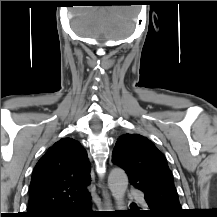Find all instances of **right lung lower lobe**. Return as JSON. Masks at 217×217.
I'll use <instances>...</instances> for the list:
<instances>
[{
	"label": "right lung lower lobe",
	"mask_w": 217,
	"mask_h": 217,
	"mask_svg": "<svg viewBox=\"0 0 217 217\" xmlns=\"http://www.w3.org/2000/svg\"><path fill=\"white\" fill-rule=\"evenodd\" d=\"M91 209V198L80 204L64 207L53 214L46 217H93L94 214ZM108 216V215H102Z\"/></svg>",
	"instance_id": "98d812e1"
}]
</instances>
